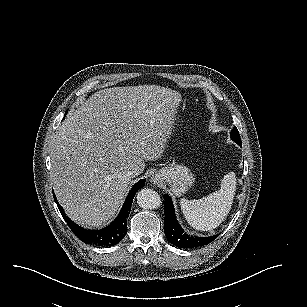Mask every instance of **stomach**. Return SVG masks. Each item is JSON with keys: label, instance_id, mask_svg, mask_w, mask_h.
I'll return each mask as SVG.
<instances>
[{"label": "stomach", "instance_id": "0dacf381", "mask_svg": "<svg viewBox=\"0 0 307 307\" xmlns=\"http://www.w3.org/2000/svg\"><path fill=\"white\" fill-rule=\"evenodd\" d=\"M173 153L181 152V144L179 138L171 132ZM195 173L185 164L178 163L175 157L168 159V163L159 169L151 178V181L156 184H167L170 192L177 196H183L195 184Z\"/></svg>", "mask_w": 307, "mask_h": 307}]
</instances>
